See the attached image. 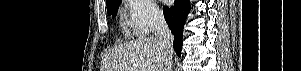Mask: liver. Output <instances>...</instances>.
<instances>
[{
    "instance_id": "obj_1",
    "label": "liver",
    "mask_w": 301,
    "mask_h": 71,
    "mask_svg": "<svg viewBox=\"0 0 301 71\" xmlns=\"http://www.w3.org/2000/svg\"><path fill=\"white\" fill-rule=\"evenodd\" d=\"M163 53L154 37H140L103 55L101 71H162Z\"/></svg>"
}]
</instances>
